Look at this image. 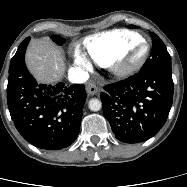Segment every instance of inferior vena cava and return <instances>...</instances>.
<instances>
[{"label": "inferior vena cava", "mask_w": 187, "mask_h": 187, "mask_svg": "<svg viewBox=\"0 0 187 187\" xmlns=\"http://www.w3.org/2000/svg\"><path fill=\"white\" fill-rule=\"evenodd\" d=\"M89 74L79 68H71L68 72V79L71 83H84L88 80Z\"/></svg>", "instance_id": "inferior-vena-cava-1"}]
</instances>
